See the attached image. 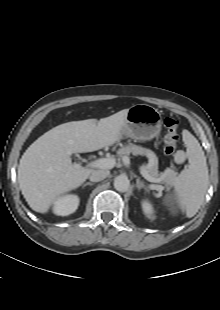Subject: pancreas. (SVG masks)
Returning <instances> with one entry per match:
<instances>
[{
    "instance_id": "cf45deb5",
    "label": "pancreas",
    "mask_w": 220,
    "mask_h": 310,
    "mask_svg": "<svg viewBox=\"0 0 220 310\" xmlns=\"http://www.w3.org/2000/svg\"><path fill=\"white\" fill-rule=\"evenodd\" d=\"M132 153L133 155H145L149 159V163L144 166V169L155 178H161V182L166 186H172L175 182V177L177 172L173 169H166L163 173H159L158 171V159L156 155L149 149L132 145L126 146L118 151V154L121 155H129Z\"/></svg>"
}]
</instances>
